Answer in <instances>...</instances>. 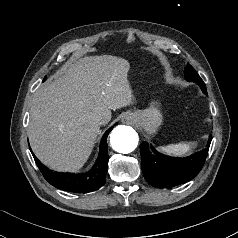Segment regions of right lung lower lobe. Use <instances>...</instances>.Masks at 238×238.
I'll use <instances>...</instances> for the list:
<instances>
[{
	"label": "right lung lower lobe",
	"instance_id": "right-lung-lower-lobe-1",
	"mask_svg": "<svg viewBox=\"0 0 238 238\" xmlns=\"http://www.w3.org/2000/svg\"><path fill=\"white\" fill-rule=\"evenodd\" d=\"M110 128L103 136L99 157L90 171L85 174L58 173L49 170L33 155L34 160L43 174L44 178L54 187L74 192L88 193L97 190L105 184V177L108 171L109 155L107 152V136Z\"/></svg>",
	"mask_w": 238,
	"mask_h": 238
}]
</instances>
